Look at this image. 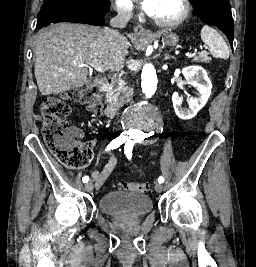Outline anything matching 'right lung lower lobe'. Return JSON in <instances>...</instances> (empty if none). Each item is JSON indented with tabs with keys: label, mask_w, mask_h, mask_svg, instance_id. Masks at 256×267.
<instances>
[{
	"label": "right lung lower lobe",
	"mask_w": 256,
	"mask_h": 267,
	"mask_svg": "<svg viewBox=\"0 0 256 267\" xmlns=\"http://www.w3.org/2000/svg\"><path fill=\"white\" fill-rule=\"evenodd\" d=\"M106 13L96 11V10H85L84 12L78 15H65L62 13H54L40 21H37V26L39 28L43 26H48L51 23H58V22H74V23H85L91 25H103L104 15Z\"/></svg>",
	"instance_id": "right-lung-lower-lobe-1"
}]
</instances>
